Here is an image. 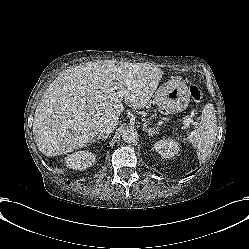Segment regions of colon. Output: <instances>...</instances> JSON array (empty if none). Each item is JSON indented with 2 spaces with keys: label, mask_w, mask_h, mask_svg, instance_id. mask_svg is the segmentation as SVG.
<instances>
[{
  "label": "colon",
  "mask_w": 249,
  "mask_h": 249,
  "mask_svg": "<svg viewBox=\"0 0 249 249\" xmlns=\"http://www.w3.org/2000/svg\"><path fill=\"white\" fill-rule=\"evenodd\" d=\"M190 95L192 99L196 102H199L202 99V92L197 85H192L190 87Z\"/></svg>",
  "instance_id": "colon-1"
}]
</instances>
